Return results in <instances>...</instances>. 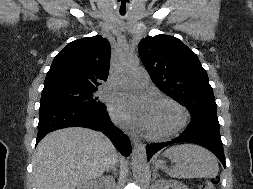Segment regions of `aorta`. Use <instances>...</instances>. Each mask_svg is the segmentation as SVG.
I'll return each instance as SVG.
<instances>
[{
    "instance_id": "obj_1",
    "label": "aorta",
    "mask_w": 253,
    "mask_h": 189,
    "mask_svg": "<svg viewBox=\"0 0 253 189\" xmlns=\"http://www.w3.org/2000/svg\"><path fill=\"white\" fill-rule=\"evenodd\" d=\"M139 64L138 58L125 55L120 61V70L128 71L135 69ZM148 168L147 153L144 144H136L132 151V170L137 175H143Z\"/></svg>"
}]
</instances>
